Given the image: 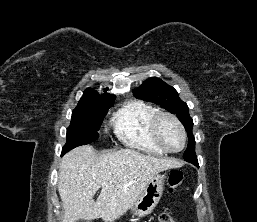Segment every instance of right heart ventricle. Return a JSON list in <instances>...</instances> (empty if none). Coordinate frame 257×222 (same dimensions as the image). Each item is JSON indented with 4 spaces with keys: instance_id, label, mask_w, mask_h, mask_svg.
Wrapping results in <instances>:
<instances>
[{
    "instance_id": "obj_1",
    "label": "right heart ventricle",
    "mask_w": 257,
    "mask_h": 222,
    "mask_svg": "<svg viewBox=\"0 0 257 222\" xmlns=\"http://www.w3.org/2000/svg\"><path fill=\"white\" fill-rule=\"evenodd\" d=\"M159 113L158 109L141 100H131L124 104L112 117L116 136L126 146L147 153H165L151 134V124Z\"/></svg>"
}]
</instances>
